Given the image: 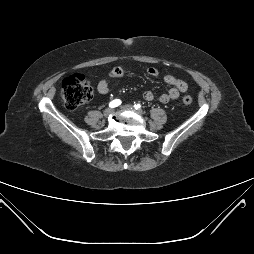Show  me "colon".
<instances>
[{
    "label": "colon",
    "mask_w": 254,
    "mask_h": 254,
    "mask_svg": "<svg viewBox=\"0 0 254 254\" xmlns=\"http://www.w3.org/2000/svg\"><path fill=\"white\" fill-rule=\"evenodd\" d=\"M61 96L66 108L75 110L92 98L93 88L84 75L73 74L63 81ZM182 101L188 105L193 102V98L190 95H185Z\"/></svg>",
    "instance_id": "5ec220e1"
}]
</instances>
